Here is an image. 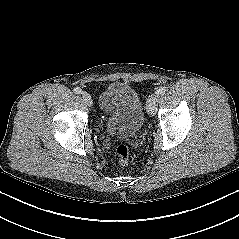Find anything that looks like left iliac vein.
Wrapping results in <instances>:
<instances>
[{
    "mask_svg": "<svg viewBox=\"0 0 239 239\" xmlns=\"http://www.w3.org/2000/svg\"><path fill=\"white\" fill-rule=\"evenodd\" d=\"M159 99L158 92L153 93L146 102V109L150 115H154L157 111V102Z\"/></svg>",
    "mask_w": 239,
    "mask_h": 239,
    "instance_id": "obj_1",
    "label": "left iliac vein"
}]
</instances>
